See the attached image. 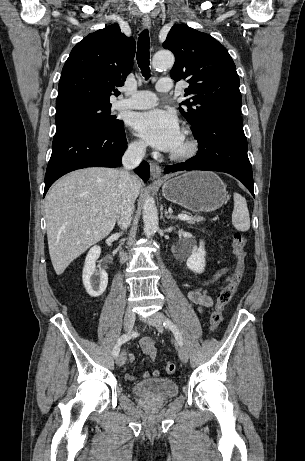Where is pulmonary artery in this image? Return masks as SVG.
Returning <instances> with one entry per match:
<instances>
[{"mask_svg":"<svg viewBox=\"0 0 305 461\" xmlns=\"http://www.w3.org/2000/svg\"><path fill=\"white\" fill-rule=\"evenodd\" d=\"M172 89V82L170 78H161L156 83V90L158 92H169ZM157 103V96L150 91H137L131 97L119 99L115 103L116 109H148L155 106Z\"/></svg>","mask_w":305,"mask_h":461,"instance_id":"pulmonary-artery-1","label":"pulmonary artery"}]
</instances>
